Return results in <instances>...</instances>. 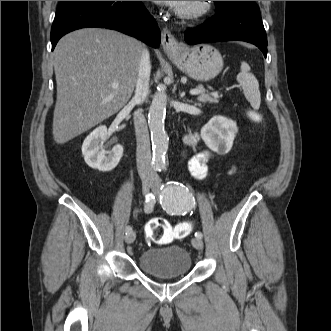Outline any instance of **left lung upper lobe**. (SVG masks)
<instances>
[{"mask_svg":"<svg viewBox=\"0 0 331 331\" xmlns=\"http://www.w3.org/2000/svg\"><path fill=\"white\" fill-rule=\"evenodd\" d=\"M216 5L217 12L223 10L224 8L235 6V5H251L255 4V1H214Z\"/></svg>","mask_w":331,"mask_h":331,"instance_id":"obj_1","label":"left lung upper lobe"}]
</instances>
